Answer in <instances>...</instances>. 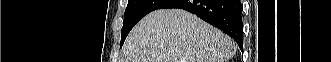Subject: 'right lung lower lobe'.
Segmentation results:
<instances>
[{"label":"right lung lower lobe","mask_w":331,"mask_h":62,"mask_svg":"<svg viewBox=\"0 0 331 62\" xmlns=\"http://www.w3.org/2000/svg\"><path fill=\"white\" fill-rule=\"evenodd\" d=\"M165 8L187 10L231 36L243 50L240 0H172Z\"/></svg>","instance_id":"obj_1"}]
</instances>
